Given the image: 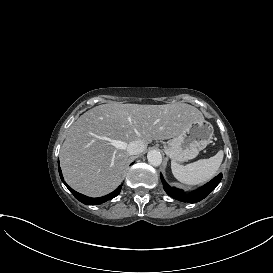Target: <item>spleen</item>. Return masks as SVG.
Segmentation results:
<instances>
[{
    "instance_id": "obj_1",
    "label": "spleen",
    "mask_w": 273,
    "mask_h": 273,
    "mask_svg": "<svg viewBox=\"0 0 273 273\" xmlns=\"http://www.w3.org/2000/svg\"><path fill=\"white\" fill-rule=\"evenodd\" d=\"M224 158V151L219 150L209 159H202L193 164L182 166L175 161L171 162L173 176L188 186L203 184L211 180L218 172Z\"/></svg>"
}]
</instances>
